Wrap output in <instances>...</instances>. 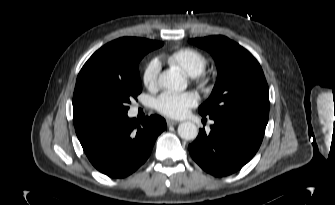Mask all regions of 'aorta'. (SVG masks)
Masks as SVG:
<instances>
[{"label":"aorta","mask_w":335,"mask_h":205,"mask_svg":"<svg viewBox=\"0 0 335 205\" xmlns=\"http://www.w3.org/2000/svg\"><path fill=\"white\" fill-rule=\"evenodd\" d=\"M159 85L172 90H184L187 86L185 79L179 72L170 69L159 75ZM178 134L184 140H194L198 135V128L193 122H183L178 126Z\"/></svg>","instance_id":"aorta-1"}]
</instances>
